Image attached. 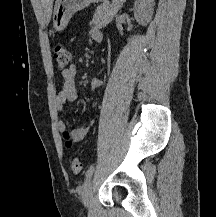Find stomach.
<instances>
[{"label":"stomach","mask_w":216,"mask_h":217,"mask_svg":"<svg viewBox=\"0 0 216 217\" xmlns=\"http://www.w3.org/2000/svg\"><path fill=\"white\" fill-rule=\"evenodd\" d=\"M99 2H107V0H56L53 13V28L58 32L63 31L73 14L85 9L92 3Z\"/></svg>","instance_id":"0dacf381"}]
</instances>
